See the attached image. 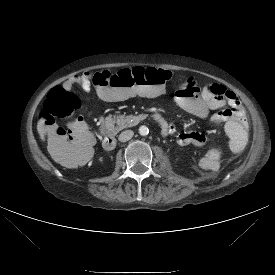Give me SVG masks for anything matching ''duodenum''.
<instances>
[{"instance_id":"obj_1","label":"duodenum","mask_w":275,"mask_h":275,"mask_svg":"<svg viewBox=\"0 0 275 275\" xmlns=\"http://www.w3.org/2000/svg\"><path fill=\"white\" fill-rule=\"evenodd\" d=\"M154 119L160 125H162L164 123V118L162 116L155 115ZM102 132L104 134V138H103V142H102L103 148L108 151L115 149V147L117 145V141L114 136V125H113L112 120H107V122L105 123V125L103 127Z\"/></svg>"}]
</instances>
